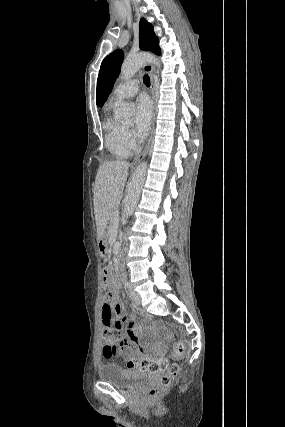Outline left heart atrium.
<instances>
[{"label": "left heart atrium", "instance_id": "1", "mask_svg": "<svg viewBox=\"0 0 285 427\" xmlns=\"http://www.w3.org/2000/svg\"><path fill=\"white\" fill-rule=\"evenodd\" d=\"M152 119V108L149 100L140 97L135 104V130L140 137L148 133Z\"/></svg>", "mask_w": 285, "mask_h": 427}]
</instances>
